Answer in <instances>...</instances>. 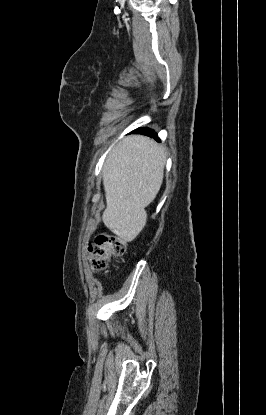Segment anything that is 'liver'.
I'll return each mask as SVG.
<instances>
[{
    "instance_id": "liver-1",
    "label": "liver",
    "mask_w": 266,
    "mask_h": 415,
    "mask_svg": "<svg viewBox=\"0 0 266 415\" xmlns=\"http://www.w3.org/2000/svg\"><path fill=\"white\" fill-rule=\"evenodd\" d=\"M165 148L154 140L131 135L110 152L103 167L105 226L122 241L131 242L146 224L147 207L163 182Z\"/></svg>"
}]
</instances>
